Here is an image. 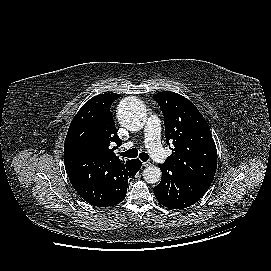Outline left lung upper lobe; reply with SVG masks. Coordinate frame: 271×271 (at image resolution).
<instances>
[{"mask_svg": "<svg viewBox=\"0 0 271 271\" xmlns=\"http://www.w3.org/2000/svg\"><path fill=\"white\" fill-rule=\"evenodd\" d=\"M165 123V137L174 149L162 166L188 175L209 187L217 168V150L205 118L182 95L159 92L153 96Z\"/></svg>", "mask_w": 271, "mask_h": 271, "instance_id": "left-lung-upper-lobe-1", "label": "left lung upper lobe"}]
</instances>
